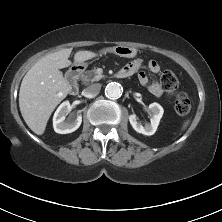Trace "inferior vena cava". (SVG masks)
<instances>
[{
	"label": "inferior vena cava",
	"instance_id": "1",
	"mask_svg": "<svg viewBox=\"0 0 222 222\" xmlns=\"http://www.w3.org/2000/svg\"><path fill=\"white\" fill-rule=\"evenodd\" d=\"M100 90H101V84L96 83L86 87L82 93L85 97L93 98L99 94Z\"/></svg>",
	"mask_w": 222,
	"mask_h": 222
}]
</instances>
